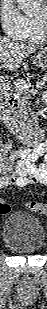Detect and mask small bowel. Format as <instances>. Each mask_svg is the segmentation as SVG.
Returning <instances> with one entry per match:
<instances>
[{"instance_id":"1","label":"small bowel","mask_w":47,"mask_h":309,"mask_svg":"<svg viewBox=\"0 0 47 309\" xmlns=\"http://www.w3.org/2000/svg\"><path fill=\"white\" fill-rule=\"evenodd\" d=\"M46 148L45 143H40L35 147L21 149L13 155H5L0 168V188L46 184V165L43 163L36 165L38 158L46 152Z\"/></svg>"}]
</instances>
